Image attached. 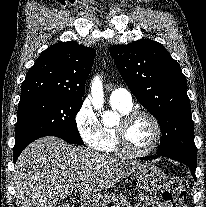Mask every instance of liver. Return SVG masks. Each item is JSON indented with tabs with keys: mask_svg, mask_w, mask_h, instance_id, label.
<instances>
[{
	"mask_svg": "<svg viewBox=\"0 0 206 207\" xmlns=\"http://www.w3.org/2000/svg\"><path fill=\"white\" fill-rule=\"evenodd\" d=\"M142 163L117 159L54 137L28 145L14 170L17 207H56L76 185L97 206L100 192L129 176Z\"/></svg>",
	"mask_w": 206,
	"mask_h": 207,
	"instance_id": "6515ba94",
	"label": "liver"
}]
</instances>
